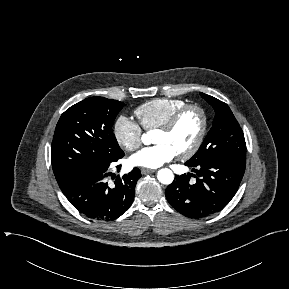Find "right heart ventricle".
Returning <instances> with one entry per match:
<instances>
[{"mask_svg": "<svg viewBox=\"0 0 289 289\" xmlns=\"http://www.w3.org/2000/svg\"><path fill=\"white\" fill-rule=\"evenodd\" d=\"M186 104L182 99L156 98L140 105L135 114L144 129L153 130L164 124L175 111Z\"/></svg>", "mask_w": 289, "mask_h": 289, "instance_id": "right-heart-ventricle-1", "label": "right heart ventricle"}]
</instances>
